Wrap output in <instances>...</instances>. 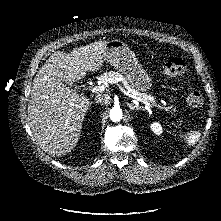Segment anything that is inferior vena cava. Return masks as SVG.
<instances>
[{
    "instance_id": "obj_1",
    "label": "inferior vena cava",
    "mask_w": 221,
    "mask_h": 221,
    "mask_svg": "<svg viewBox=\"0 0 221 221\" xmlns=\"http://www.w3.org/2000/svg\"><path fill=\"white\" fill-rule=\"evenodd\" d=\"M95 101L97 103L107 104L109 102V99L106 96L103 95H97L95 97Z\"/></svg>"
}]
</instances>
